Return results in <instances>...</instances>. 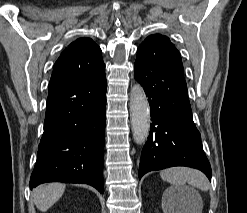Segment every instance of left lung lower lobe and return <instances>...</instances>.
I'll return each instance as SVG.
<instances>
[{
	"mask_svg": "<svg viewBox=\"0 0 247 213\" xmlns=\"http://www.w3.org/2000/svg\"><path fill=\"white\" fill-rule=\"evenodd\" d=\"M134 71L148 97L153 121L141 154L139 179L149 171L187 166L211 180V167L193 122L182 62L136 60Z\"/></svg>",
	"mask_w": 247,
	"mask_h": 213,
	"instance_id": "obj_1",
	"label": "left lung lower lobe"
}]
</instances>
